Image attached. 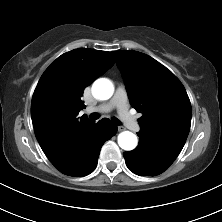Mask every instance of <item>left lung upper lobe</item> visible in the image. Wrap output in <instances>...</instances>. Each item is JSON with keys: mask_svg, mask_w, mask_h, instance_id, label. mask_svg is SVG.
Wrapping results in <instances>:
<instances>
[{"mask_svg": "<svg viewBox=\"0 0 222 222\" xmlns=\"http://www.w3.org/2000/svg\"><path fill=\"white\" fill-rule=\"evenodd\" d=\"M131 105L142 111L140 140L151 141L176 158L191 125V104L180 80L165 66L137 51H112Z\"/></svg>", "mask_w": 222, "mask_h": 222, "instance_id": "obj_1", "label": "left lung upper lobe"}]
</instances>
